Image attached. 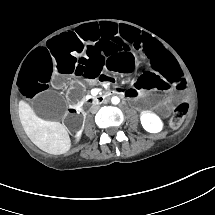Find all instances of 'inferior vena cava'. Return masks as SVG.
<instances>
[{
  "mask_svg": "<svg viewBox=\"0 0 215 215\" xmlns=\"http://www.w3.org/2000/svg\"><path fill=\"white\" fill-rule=\"evenodd\" d=\"M99 109H100L99 105H92L91 108H90V112L95 114V113L98 112Z\"/></svg>",
  "mask_w": 215,
  "mask_h": 215,
  "instance_id": "1",
  "label": "inferior vena cava"
}]
</instances>
